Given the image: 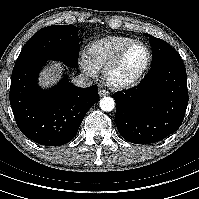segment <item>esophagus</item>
I'll list each match as a JSON object with an SVG mask.
<instances>
[{"mask_svg": "<svg viewBox=\"0 0 199 199\" xmlns=\"http://www.w3.org/2000/svg\"><path fill=\"white\" fill-rule=\"evenodd\" d=\"M98 94H99L100 97H104V96L108 95V91L105 90V89H100Z\"/></svg>", "mask_w": 199, "mask_h": 199, "instance_id": "obj_1", "label": "esophagus"}]
</instances>
